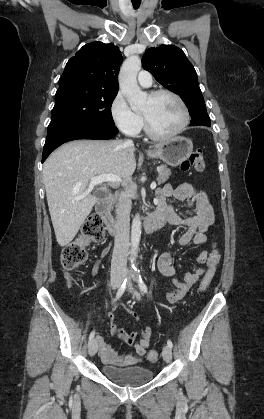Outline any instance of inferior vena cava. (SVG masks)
<instances>
[{"label": "inferior vena cava", "instance_id": "602c4592", "mask_svg": "<svg viewBox=\"0 0 264 419\" xmlns=\"http://www.w3.org/2000/svg\"><path fill=\"white\" fill-rule=\"evenodd\" d=\"M125 144L133 145L132 140H126ZM130 210L131 207L127 202L125 194H120L116 209V234L114 251L112 255L111 268L121 271L126 270L127 266V250L129 247L130 232Z\"/></svg>", "mask_w": 264, "mask_h": 419}]
</instances>
